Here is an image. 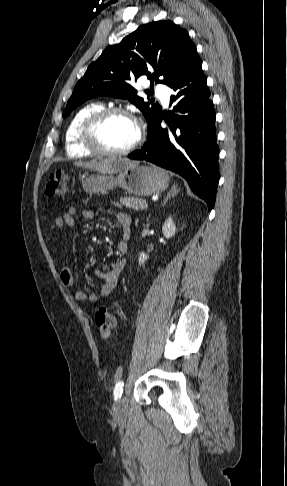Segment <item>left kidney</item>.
<instances>
[{
  "instance_id": "5707ae66",
  "label": "left kidney",
  "mask_w": 287,
  "mask_h": 486,
  "mask_svg": "<svg viewBox=\"0 0 287 486\" xmlns=\"http://www.w3.org/2000/svg\"><path fill=\"white\" fill-rule=\"evenodd\" d=\"M162 232L167 239L172 238L175 235L176 226L173 222L172 217H168V219L164 222L162 226ZM147 258L148 256L144 252L140 253L138 259L139 265H142L147 260Z\"/></svg>"
}]
</instances>
